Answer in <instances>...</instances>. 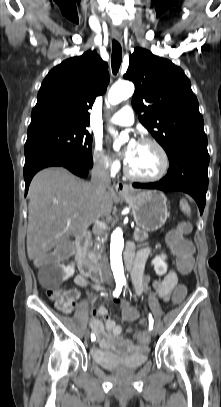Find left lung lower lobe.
<instances>
[{"label": "left lung lower lobe", "instance_id": "obj_1", "mask_svg": "<svg viewBox=\"0 0 221 407\" xmlns=\"http://www.w3.org/2000/svg\"><path fill=\"white\" fill-rule=\"evenodd\" d=\"M169 157L167 175L154 183H133L135 188L175 190L190 194L203 213L208 188L207 139H187L176 145Z\"/></svg>", "mask_w": 221, "mask_h": 407}]
</instances>
